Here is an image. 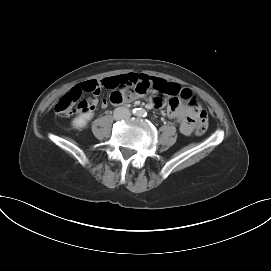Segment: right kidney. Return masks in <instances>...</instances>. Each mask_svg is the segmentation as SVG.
I'll use <instances>...</instances> for the list:
<instances>
[{"label": "right kidney", "mask_w": 271, "mask_h": 271, "mask_svg": "<svg viewBox=\"0 0 271 271\" xmlns=\"http://www.w3.org/2000/svg\"><path fill=\"white\" fill-rule=\"evenodd\" d=\"M92 117H93V113L91 111L86 112L74 118V120L72 121V125L78 129L84 128L87 125L88 121L92 119Z\"/></svg>", "instance_id": "1"}]
</instances>
